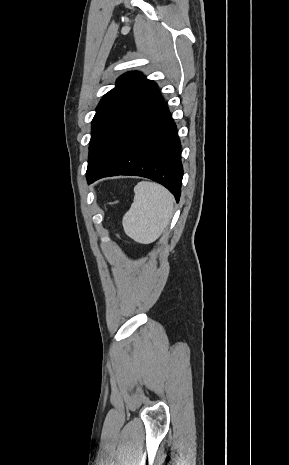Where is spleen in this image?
Returning <instances> with one entry per match:
<instances>
[{
	"label": "spleen",
	"instance_id": "3e777b00",
	"mask_svg": "<svg viewBox=\"0 0 289 465\" xmlns=\"http://www.w3.org/2000/svg\"><path fill=\"white\" fill-rule=\"evenodd\" d=\"M134 200L123 216L125 233L141 244L157 240L168 226L174 198L161 185L141 181L134 188Z\"/></svg>",
	"mask_w": 289,
	"mask_h": 465
}]
</instances>
